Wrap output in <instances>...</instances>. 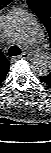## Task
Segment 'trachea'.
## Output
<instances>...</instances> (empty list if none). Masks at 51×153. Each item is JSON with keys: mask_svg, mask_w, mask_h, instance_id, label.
I'll list each match as a JSON object with an SVG mask.
<instances>
[{"mask_svg": "<svg viewBox=\"0 0 51 153\" xmlns=\"http://www.w3.org/2000/svg\"><path fill=\"white\" fill-rule=\"evenodd\" d=\"M8 54H9V56H18L21 54V49L17 46H11L8 49Z\"/></svg>", "mask_w": 51, "mask_h": 153, "instance_id": "1", "label": "trachea"}]
</instances>
